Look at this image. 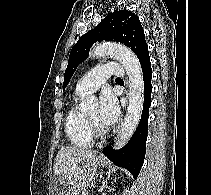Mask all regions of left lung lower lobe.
I'll use <instances>...</instances> for the list:
<instances>
[{
    "instance_id": "0a47b994",
    "label": "left lung lower lobe",
    "mask_w": 211,
    "mask_h": 195,
    "mask_svg": "<svg viewBox=\"0 0 211 195\" xmlns=\"http://www.w3.org/2000/svg\"><path fill=\"white\" fill-rule=\"evenodd\" d=\"M144 81V105L139 125L131 137L130 141L119 150H114L111 146L103 149L102 153L115 165L127 169L134 178L138 177L144 162L146 152V140L148 133V110L151 105V78L152 69L150 58L141 62Z\"/></svg>"
}]
</instances>
